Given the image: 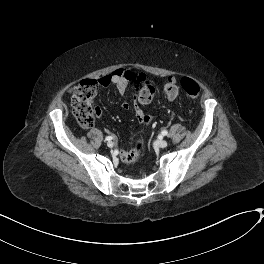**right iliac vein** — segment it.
Returning <instances> with one entry per match:
<instances>
[{"mask_svg": "<svg viewBox=\"0 0 264 264\" xmlns=\"http://www.w3.org/2000/svg\"><path fill=\"white\" fill-rule=\"evenodd\" d=\"M107 146H108L109 148H112V147L114 146V144H113V142L109 141V142L107 143Z\"/></svg>", "mask_w": 264, "mask_h": 264, "instance_id": "right-iliac-vein-1", "label": "right iliac vein"}]
</instances>
